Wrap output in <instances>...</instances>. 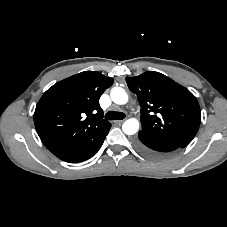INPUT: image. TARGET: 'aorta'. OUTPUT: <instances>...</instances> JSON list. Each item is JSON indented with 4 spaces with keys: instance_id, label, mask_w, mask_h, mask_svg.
<instances>
[{
    "instance_id": "obj_1",
    "label": "aorta",
    "mask_w": 227,
    "mask_h": 227,
    "mask_svg": "<svg viewBox=\"0 0 227 227\" xmlns=\"http://www.w3.org/2000/svg\"><path fill=\"white\" fill-rule=\"evenodd\" d=\"M111 99L118 105H124L128 102V94L121 87H114L110 92ZM139 129V121L135 118L126 120L122 125V130L126 135H133Z\"/></svg>"
}]
</instances>
